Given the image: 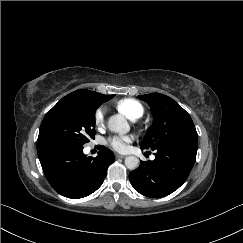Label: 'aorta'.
Instances as JSON below:
<instances>
[{
    "instance_id": "obj_1",
    "label": "aorta",
    "mask_w": 243,
    "mask_h": 243,
    "mask_svg": "<svg viewBox=\"0 0 243 243\" xmlns=\"http://www.w3.org/2000/svg\"><path fill=\"white\" fill-rule=\"evenodd\" d=\"M108 129L118 134H126L130 130V126L126 118L120 114L113 115L108 120ZM125 165L130 170H135L139 166V159L135 156H128L125 159Z\"/></svg>"
}]
</instances>
